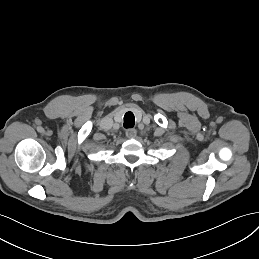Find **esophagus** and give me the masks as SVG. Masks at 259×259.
<instances>
[{"label": "esophagus", "instance_id": "1", "mask_svg": "<svg viewBox=\"0 0 259 259\" xmlns=\"http://www.w3.org/2000/svg\"><path fill=\"white\" fill-rule=\"evenodd\" d=\"M137 135V131L134 128L126 130V137L129 139L134 138Z\"/></svg>", "mask_w": 259, "mask_h": 259}]
</instances>
